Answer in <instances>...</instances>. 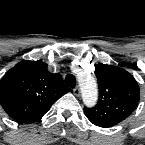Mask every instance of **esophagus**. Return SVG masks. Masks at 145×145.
Masks as SVG:
<instances>
[{
  "instance_id": "obj_1",
  "label": "esophagus",
  "mask_w": 145,
  "mask_h": 145,
  "mask_svg": "<svg viewBox=\"0 0 145 145\" xmlns=\"http://www.w3.org/2000/svg\"><path fill=\"white\" fill-rule=\"evenodd\" d=\"M73 93H74V95H76V96H80V88L79 87H75L74 89H73Z\"/></svg>"
}]
</instances>
